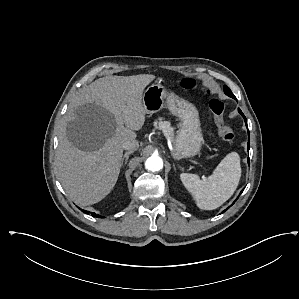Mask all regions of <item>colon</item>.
<instances>
[{"mask_svg":"<svg viewBox=\"0 0 299 299\" xmlns=\"http://www.w3.org/2000/svg\"><path fill=\"white\" fill-rule=\"evenodd\" d=\"M196 85L197 81L193 78H185L181 81V87L183 89H192ZM209 107L214 116L219 138L224 142H231L234 139V132L224 120V103L217 98H212L209 102Z\"/></svg>","mask_w":299,"mask_h":299,"instance_id":"1","label":"colon"}]
</instances>
